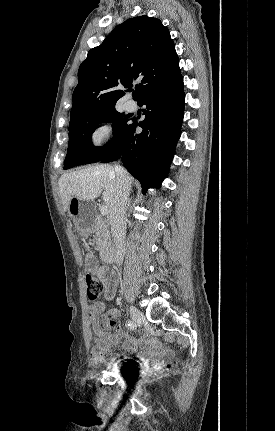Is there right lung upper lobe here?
<instances>
[{
  "mask_svg": "<svg viewBox=\"0 0 275 431\" xmlns=\"http://www.w3.org/2000/svg\"><path fill=\"white\" fill-rule=\"evenodd\" d=\"M169 30L157 18L139 16L118 25L98 47L88 52L78 70L70 122L115 107L124 91L139 79L135 101L164 84L179 70Z\"/></svg>",
  "mask_w": 275,
  "mask_h": 431,
  "instance_id": "cb5924a9",
  "label": "right lung upper lobe"
}]
</instances>
